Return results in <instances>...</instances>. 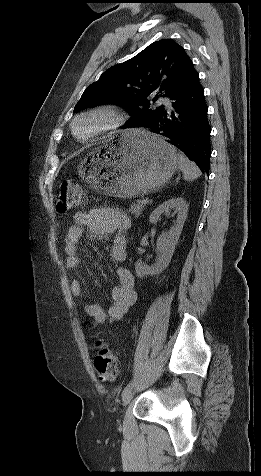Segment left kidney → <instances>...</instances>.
I'll return each mask as SVG.
<instances>
[{"label":"left kidney","mask_w":261,"mask_h":476,"mask_svg":"<svg viewBox=\"0 0 261 476\" xmlns=\"http://www.w3.org/2000/svg\"><path fill=\"white\" fill-rule=\"evenodd\" d=\"M171 210H174L177 213V219L171 229L168 232L162 233L157 239L156 246L158 257L156 262L149 267L141 261H137L135 263L137 277L142 278L147 275H158L164 271L171 262L175 246L187 217L188 204L181 197L171 198L160 204L149 217L150 223L155 224L160 220V216L163 213H170Z\"/></svg>","instance_id":"5707ae66"}]
</instances>
